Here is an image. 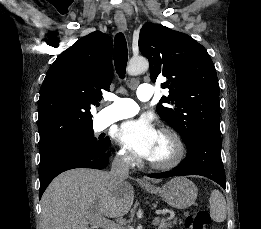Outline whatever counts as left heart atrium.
Wrapping results in <instances>:
<instances>
[{"label":"left heart atrium","mask_w":261,"mask_h":229,"mask_svg":"<svg viewBox=\"0 0 261 229\" xmlns=\"http://www.w3.org/2000/svg\"><path fill=\"white\" fill-rule=\"evenodd\" d=\"M117 138L137 156L150 159L157 144L159 133L147 120H131L119 127Z\"/></svg>","instance_id":"obj_1"}]
</instances>
